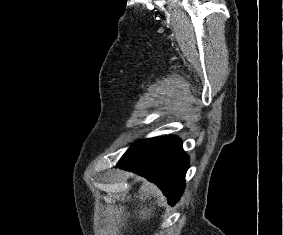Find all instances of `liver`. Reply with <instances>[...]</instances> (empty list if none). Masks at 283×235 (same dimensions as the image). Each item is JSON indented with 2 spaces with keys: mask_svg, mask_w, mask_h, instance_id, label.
<instances>
[{
  "mask_svg": "<svg viewBox=\"0 0 283 235\" xmlns=\"http://www.w3.org/2000/svg\"><path fill=\"white\" fill-rule=\"evenodd\" d=\"M152 212H153L152 210L141 209L139 210L138 219H141V220L150 219V217L153 216Z\"/></svg>",
  "mask_w": 283,
  "mask_h": 235,
  "instance_id": "obj_1",
  "label": "liver"
}]
</instances>
